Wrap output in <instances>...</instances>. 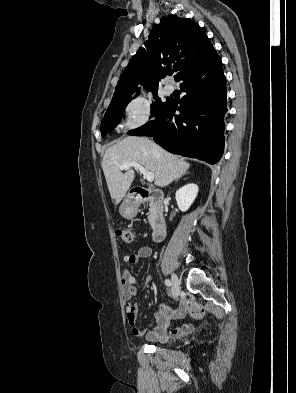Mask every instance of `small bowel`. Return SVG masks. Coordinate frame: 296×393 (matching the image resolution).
<instances>
[{"label":"small bowel","instance_id":"1","mask_svg":"<svg viewBox=\"0 0 296 393\" xmlns=\"http://www.w3.org/2000/svg\"><path fill=\"white\" fill-rule=\"evenodd\" d=\"M153 248L151 246H143L137 251L124 256L123 261L126 267L122 272V286L123 295L126 306V315L128 323L132 328V333L136 337H146L151 342H165L169 337H180L190 333L193 330L192 324H182L180 326L171 327L172 322L178 321L185 317L188 308L186 301L180 298L178 307L172 309L164 304L155 313L156 325L151 330L142 329L137 326L136 315L138 305L133 302L139 289L136 287V279L129 270V265H134L142 259L148 258L152 255ZM152 278L148 277L146 283L141 290H146L150 287Z\"/></svg>","mask_w":296,"mask_h":393}]
</instances>
